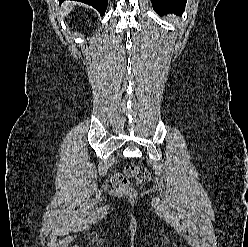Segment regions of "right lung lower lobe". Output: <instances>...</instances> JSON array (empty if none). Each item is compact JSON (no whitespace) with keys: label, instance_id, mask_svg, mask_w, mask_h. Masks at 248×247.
<instances>
[{"label":"right lung lower lobe","instance_id":"98d812e1","mask_svg":"<svg viewBox=\"0 0 248 247\" xmlns=\"http://www.w3.org/2000/svg\"><path fill=\"white\" fill-rule=\"evenodd\" d=\"M59 1L63 2L65 0H59ZM74 1L83 2L88 5L93 6L99 11L101 15H104L106 8H107V2H108V0H74Z\"/></svg>","mask_w":248,"mask_h":247}]
</instances>
